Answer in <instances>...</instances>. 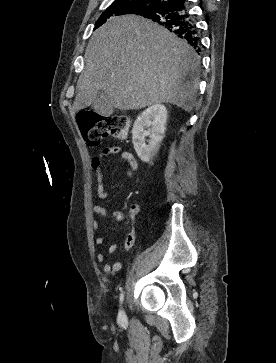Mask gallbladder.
<instances>
[{
  "mask_svg": "<svg viewBox=\"0 0 276 363\" xmlns=\"http://www.w3.org/2000/svg\"><path fill=\"white\" fill-rule=\"evenodd\" d=\"M92 107L97 114L105 117L110 116L114 111V107L110 104L108 96L102 91L99 93Z\"/></svg>",
  "mask_w": 276,
  "mask_h": 363,
  "instance_id": "gallbladder-1",
  "label": "gallbladder"
}]
</instances>
